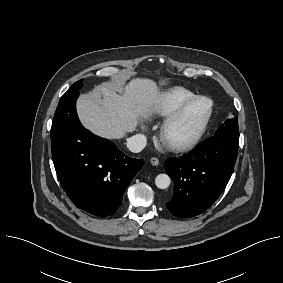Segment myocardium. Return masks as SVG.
I'll return each instance as SVG.
<instances>
[{
    "label": "myocardium",
    "instance_id": "f54148a6",
    "mask_svg": "<svg viewBox=\"0 0 283 283\" xmlns=\"http://www.w3.org/2000/svg\"><path fill=\"white\" fill-rule=\"evenodd\" d=\"M200 100H207L209 102V109L198 130L186 138L173 139L172 133L177 127V125L182 121L190 107ZM213 111L214 103L211 98L204 95L194 96L192 99L184 103L174 114H172L164 122L160 130L161 141L165 145H167L171 150L176 152H183L194 148L205 135L210 124Z\"/></svg>",
    "mask_w": 283,
    "mask_h": 283
}]
</instances>
